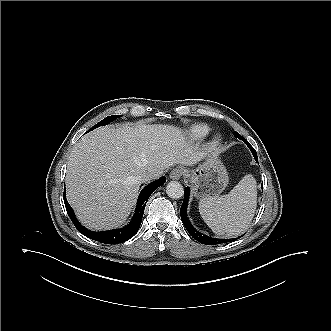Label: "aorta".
I'll return each mask as SVG.
<instances>
[{"instance_id": "obj_1", "label": "aorta", "mask_w": 331, "mask_h": 331, "mask_svg": "<svg viewBox=\"0 0 331 331\" xmlns=\"http://www.w3.org/2000/svg\"><path fill=\"white\" fill-rule=\"evenodd\" d=\"M166 193L172 199H180L184 195V188L179 182L171 181L166 186Z\"/></svg>"}]
</instances>
